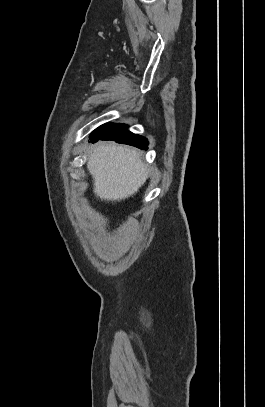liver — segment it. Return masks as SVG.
Wrapping results in <instances>:
<instances>
[{
  "instance_id": "1",
  "label": "liver",
  "mask_w": 265,
  "mask_h": 407,
  "mask_svg": "<svg viewBox=\"0 0 265 407\" xmlns=\"http://www.w3.org/2000/svg\"><path fill=\"white\" fill-rule=\"evenodd\" d=\"M94 193L101 200L121 201L133 196L148 178L141 153L112 142L99 143L88 158Z\"/></svg>"
}]
</instances>
